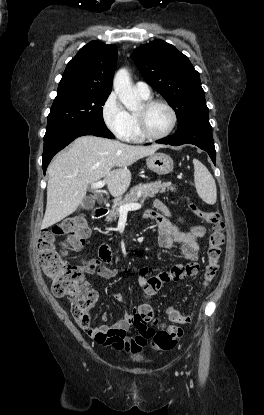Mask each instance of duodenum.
Instances as JSON below:
<instances>
[{
    "mask_svg": "<svg viewBox=\"0 0 264 415\" xmlns=\"http://www.w3.org/2000/svg\"><path fill=\"white\" fill-rule=\"evenodd\" d=\"M107 212V209L104 207L97 206L93 209V215L96 218L103 217ZM99 257L102 261H109L111 259V251L107 245H101L99 247Z\"/></svg>",
    "mask_w": 264,
    "mask_h": 415,
    "instance_id": "duodenum-1",
    "label": "duodenum"
}]
</instances>
